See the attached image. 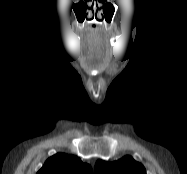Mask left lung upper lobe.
<instances>
[{
	"label": "left lung upper lobe",
	"mask_w": 187,
	"mask_h": 174,
	"mask_svg": "<svg viewBox=\"0 0 187 174\" xmlns=\"http://www.w3.org/2000/svg\"><path fill=\"white\" fill-rule=\"evenodd\" d=\"M94 172L95 174H146L144 166L130 156L114 162L98 160Z\"/></svg>",
	"instance_id": "5c2ea615"
}]
</instances>
